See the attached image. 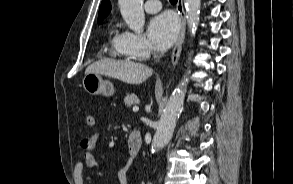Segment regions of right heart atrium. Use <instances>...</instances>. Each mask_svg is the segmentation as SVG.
Wrapping results in <instances>:
<instances>
[{"label": "right heart atrium", "instance_id": "1", "mask_svg": "<svg viewBox=\"0 0 293 184\" xmlns=\"http://www.w3.org/2000/svg\"><path fill=\"white\" fill-rule=\"evenodd\" d=\"M121 46L133 57L144 59L155 52L153 45L142 34L124 31L119 36Z\"/></svg>", "mask_w": 293, "mask_h": 184}]
</instances>
